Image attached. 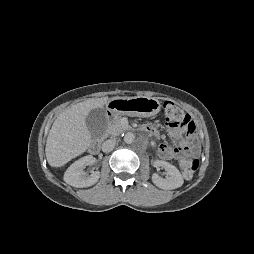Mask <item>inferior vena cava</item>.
<instances>
[{
  "instance_id": "1",
  "label": "inferior vena cava",
  "mask_w": 254,
  "mask_h": 254,
  "mask_svg": "<svg viewBox=\"0 0 254 254\" xmlns=\"http://www.w3.org/2000/svg\"><path fill=\"white\" fill-rule=\"evenodd\" d=\"M116 141L114 139H109L103 142L102 151L105 153L111 152L115 147Z\"/></svg>"
}]
</instances>
